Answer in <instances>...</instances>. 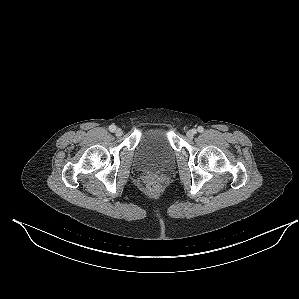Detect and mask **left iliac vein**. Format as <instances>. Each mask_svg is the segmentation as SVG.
I'll return each mask as SVG.
<instances>
[{
  "mask_svg": "<svg viewBox=\"0 0 299 299\" xmlns=\"http://www.w3.org/2000/svg\"><path fill=\"white\" fill-rule=\"evenodd\" d=\"M196 134V129H192V130H189L186 135L189 139H192L194 137V135Z\"/></svg>",
  "mask_w": 299,
  "mask_h": 299,
  "instance_id": "1",
  "label": "left iliac vein"
}]
</instances>
